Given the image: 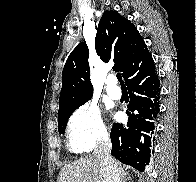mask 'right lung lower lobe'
<instances>
[{"instance_id": "98d812e1", "label": "right lung lower lobe", "mask_w": 196, "mask_h": 182, "mask_svg": "<svg viewBox=\"0 0 196 182\" xmlns=\"http://www.w3.org/2000/svg\"><path fill=\"white\" fill-rule=\"evenodd\" d=\"M125 83L130 96V118L126 125L113 124L111 154L143 172L150 161L161 90L152 56L128 74Z\"/></svg>"}]
</instances>
